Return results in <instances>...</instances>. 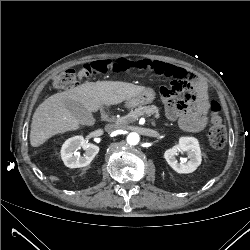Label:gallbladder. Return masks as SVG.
I'll return each mask as SVG.
<instances>
[{
    "mask_svg": "<svg viewBox=\"0 0 250 250\" xmlns=\"http://www.w3.org/2000/svg\"><path fill=\"white\" fill-rule=\"evenodd\" d=\"M65 106L79 122L87 124L92 120V114L81 103L68 99Z\"/></svg>",
    "mask_w": 250,
    "mask_h": 250,
    "instance_id": "obj_1",
    "label": "gallbladder"
}]
</instances>
